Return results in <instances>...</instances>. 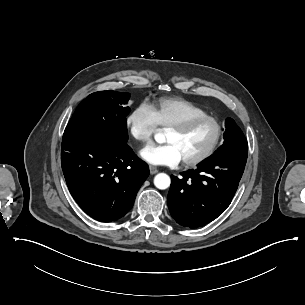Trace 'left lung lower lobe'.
Masks as SVG:
<instances>
[{
  "label": "left lung lower lobe",
  "mask_w": 305,
  "mask_h": 305,
  "mask_svg": "<svg viewBox=\"0 0 305 305\" xmlns=\"http://www.w3.org/2000/svg\"><path fill=\"white\" fill-rule=\"evenodd\" d=\"M247 155L248 150L218 152L197 169L172 176L168 207L174 220L198 228L222 214L236 193Z\"/></svg>",
  "instance_id": "left-lung-lower-lobe-1"
}]
</instances>
